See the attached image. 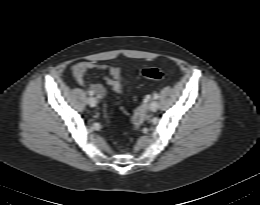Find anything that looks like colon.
<instances>
[{"instance_id":"5ec220e1","label":"colon","mask_w":260,"mask_h":205,"mask_svg":"<svg viewBox=\"0 0 260 205\" xmlns=\"http://www.w3.org/2000/svg\"><path fill=\"white\" fill-rule=\"evenodd\" d=\"M141 75L146 79L162 80L165 78L166 73L160 67H147L141 71Z\"/></svg>"}]
</instances>
